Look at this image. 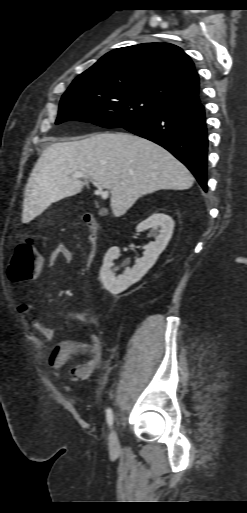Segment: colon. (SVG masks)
Instances as JSON below:
<instances>
[{
  "label": "colon",
  "instance_id": "colon-1",
  "mask_svg": "<svg viewBox=\"0 0 247 513\" xmlns=\"http://www.w3.org/2000/svg\"><path fill=\"white\" fill-rule=\"evenodd\" d=\"M41 267L34 244L27 240L16 246L9 264L8 276L14 283L28 281L41 271Z\"/></svg>",
  "mask_w": 247,
  "mask_h": 513
}]
</instances>
